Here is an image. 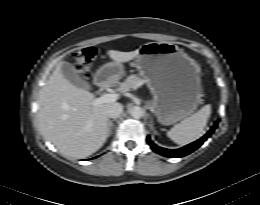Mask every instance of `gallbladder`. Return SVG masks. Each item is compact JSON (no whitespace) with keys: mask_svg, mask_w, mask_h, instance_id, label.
Wrapping results in <instances>:
<instances>
[{"mask_svg":"<svg viewBox=\"0 0 260 205\" xmlns=\"http://www.w3.org/2000/svg\"><path fill=\"white\" fill-rule=\"evenodd\" d=\"M63 77L78 88L89 90V83L78 73L74 65L69 62H63L61 66Z\"/></svg>","mask_w":260,"mask_h":205,"instance_id":"1","label":"gallbladder"}]
</instances>
